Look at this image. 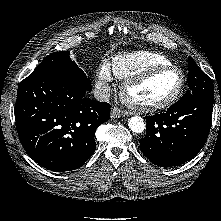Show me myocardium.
Here are the masks:
<instances>
[{
    "label": "myocardium",
    "mask_w": 221,
    "mask_h": 221,
    "mask_svg": "<svg viewBox=\"0 0 221 221\" xmlns=\"http://www.w3.org/2000/svg\"><path fill=\"white\" fill-rule=\"evenodd\" d=\"M165 71H177L181 76V81L177 90L170 97H168L165 100H162L156 103H150V104L137 103L129 98L128 94L131 88L144 82L145 80L151 78L152 76L161 72H165ZM185 85H186V75L184 71L178 66H175V65L156 66V67H152L144 71H141L125 79L121 86L120 94H121L122 101L131 109H134L140 112H153V111L164 109L172 105L174 102H176L182 95L185 89Z\"/></svg>",
    "instance_id": "1"
}]
</instances>
